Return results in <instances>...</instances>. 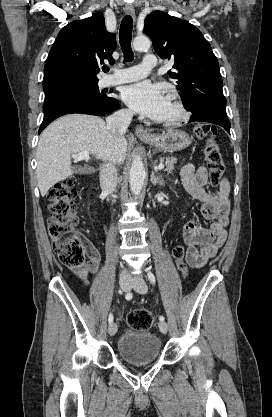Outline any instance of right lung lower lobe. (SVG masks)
Listing matches in <instances>:
<instances>
[{"label":"right lung lower lobe","mask_w":272,"mask_h":417,"mask_svg":"<svg viewBox=\"0 0 272 417\" xmlns=\"http://www.w3.org/2000/svg\"><path fill=\"white\" fill-rule=\"evenodd\" d=\"M119 108V102L112 97H107L105 101L97 102L90 100L72 99L62 101L46 110L45 117L39 128V133L42 132L53 120L70 113H82L96 116H104Z\"/></svg>","instance_id":"1"}]
</instances>
